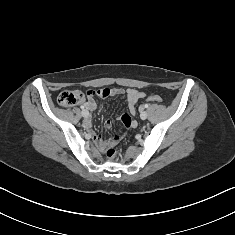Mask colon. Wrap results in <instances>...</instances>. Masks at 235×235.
I'll return each mask as SVG.
<instances>
[{
    "label": "colon",
    "instance_id": "colon-1",
    "mask_svg": "<svg viewBox=\"0 0 235 235\" xmlns=\"http://www.w3.org/2000/svg\"><path fill=\"white\" fill-rule=\"evenodd\" d=\"M99 94H102V95L106 94V89H102L98 91L90 89V90H87L86 92V95L88 97L90 96L94 97ZM84 96H85L84 93L78 90L64 91L59 94L57 101L59 105L62 107H71L80 103L84 99ZM146 100L153 102V103L162 102V98L159 95H155V94L147 96ZM121 122L123 123L125 128H130L133 124L132 118L128 114H123L121 116ZM117 139H118L117 136H112L108 138L107 140H105L103 146H104V153L107 159H113L116 157L117 149H116L115 143Z\"/></svg>",
    "mask_w": 235,
    "mask_h": 235
}]
</instances>
